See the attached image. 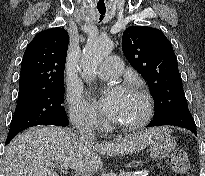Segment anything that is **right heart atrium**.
Instances as JSON below:
<instances>
[{
	"mask_svg": "<svg viewBox=\"0 0 205 176\" xmlns=\"http://www.w3.org/2000/svg\"><path fill=\"white\" fill-rule=\"evenodd\" d=\"M67 101L70 118L76 126L86 129H95L98 127L101 118L81 93L70 91L67 95Z\"/></svg>",
	"mask_w": 205,
	"mask_h": 176,
	"instance_id": "right-heart-atrium-1",
	"label": "right heart atrium"
}]
</instances>
